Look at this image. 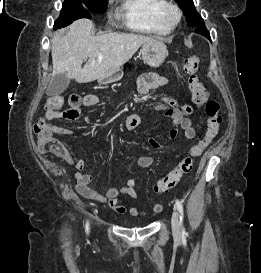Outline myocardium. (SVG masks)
Segmentation results:
<instances>
[{
    "instance_id": "obj_1",
    "label": "myocardium",
    "mask_w": 261,
    "mask_h": 273,
    "mask_svg": "<svg viewBox=\"0 0 261 273\" xmlns=\"http://www.w3.org/2000/svg\"><path fill=\"white\" fill-rule=\"evenodd\" d=\"M160 19L168 28H175L181 20L182 11L180 7L171 1H166L160 10Z\"/></svg>"
}]
</instances>
